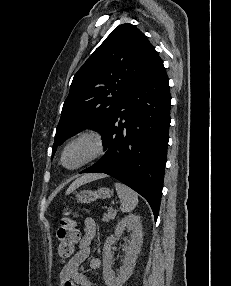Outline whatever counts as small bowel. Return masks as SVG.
I'll use <instances>...</instances> for the list:
<instances>
[{
    "label": "small bowel",
    "mask_w": 231,
    "mask_h": 286,
    "mask_svg": "<svg viewBox=\"0 0 231 286\" xmlns=\"http://www.w3.org/2000/svg\"><path fill=\"white\" fill-rule=\"evenodd\" d=\"M97 224L93 218L84 220L83 236L79 243L78 251L69 259L59 274L60 286H94L83 273L79 271L81 264L90 255V244L96 234ZM101 266L98 258L90 260V268L97 271Z\"/></svg>",
    "instance_id": "1"
}]
</instances>
